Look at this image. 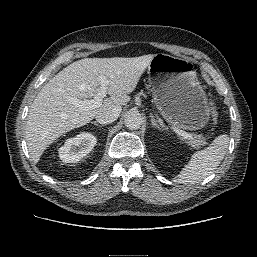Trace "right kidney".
<instances>
[{
    "label": "right kidney",
    "mask_w": 257,
    "mask_h": 257,
    "mask_svg": "<svg viewBox=\"0 0 257 257\" xmlns=\"http://www.w3.org/2000/svg\"><path fill=\"white\" fill-rule=\"evenodd\" d=\"M97 139L90 133H81L67 139L59 148V157L65 163H75L92 151Z\"/></svg>",
    "instance_id": "ca27d5eb"
}]
</instances>
